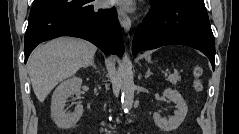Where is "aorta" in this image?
<instances>
[{
	"mask_svg": "<svg viewBox=\"0 0 239 134\" xmlns=\"http://www.w3.org/2000/svg\"><path fill=\"white\" fill-rule=\"evenodd\" d=\"M120 84L122 91V108L128 111L132 108L134 102V80L132 63L129 55L124 52L119 68Z\"/></svg>",
	"mask_w": 239,
	"mask_h": 134,
	"instance_id": "aorta-1",
	"label": "aorta"
}]
</instances>
